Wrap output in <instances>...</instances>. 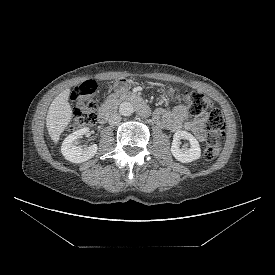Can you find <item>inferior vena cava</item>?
Segmentation results:
<instances>
[{
	"label": "inferior vena cava",
	"mask_w": 275,
	"mask_h": 275,
	"mask_svg": "<svg viewBox=\"0 0 275 275\" xmlns=\"http://www.w3.org/2000/svg\"><path fill=\"white\" fill-rule=\"evenodd\" d=\"M120 121H121V116L118 113L111 114L110 117H109V120H108L110 125H116Z\"/></svg>",
	"instance_id": "1"
}]
</instances>
